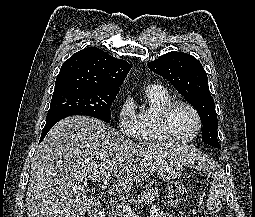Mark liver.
<instances>
[{
  "label": "liver",
  "instance_id": "obj_1",
  "mask_svg": "<svg viewBox=\"0 0 255 217\" xmlns=\"http://www.w3.org/2000/svg\"><path fill=\"white\" fill-rule=\"evenodd\" d=\"M172 153L198 158L188 145L135 143L100 120L67 117L38 146L27 188L28 217H83L91 207L85 184L110 176L113 188L129 192Z\"/></svg>",
  "mask_w": 255,
  "mask_h": 217
}]
</instances>
